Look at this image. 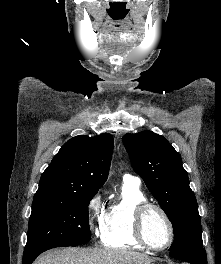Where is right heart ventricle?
<instances>
[{"instance_id": "1", "label": "right heart ventricle", "mask_w": 221, "mask_h": 264, "mask_svg": "<svg viewBox=\"0 0 221 264\" xmlns=\"http://www.w3.org/2000/svg\"><path fill=\"white\" fill-rule=\"evenodd\" d=\"M146 202V196L140 186L133 182H124L119 199L106 210L101 242L106 247L120 249H142L135 239L132 229L133 212L137 205Z\"/></svg>"}]
</instances>
